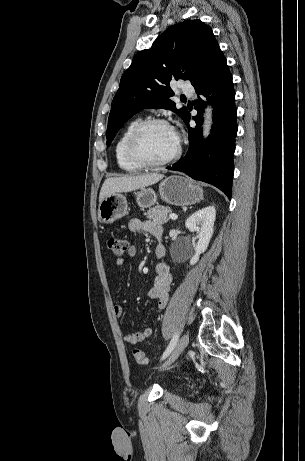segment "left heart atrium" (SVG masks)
Here are the masks:
<instances>
[{
	"instance_id": "39dd6f15",
	"label": "left heart atrium",
	"mask_w": 305,
	"mask_h": 461,
	"mask_svg": "<svg viewBox=\"0 0 305 461\" xmlns=\"http://www.w3.org/2000/svg\"><path fill=\"white\" fill-rule=\"evenodd\" d=\"M170 128H171L172 136H173L174 140L176 141V143L178 144L179 143V138H180L179 132L174 127H170Z\"/></svg>"
}]
</instances>
